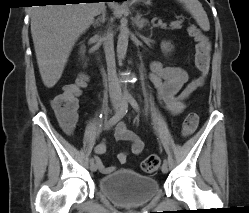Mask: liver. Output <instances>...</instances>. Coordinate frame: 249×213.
Masks as SVG:
<instances>
[{
    "instance_id": "1",
    "label": "liver",
    "mask_w": 249,
    "mask_h": 213,
    "mask_svg": "<svg viewBox=\"0 0 249 213\" xmlns=\"http://www.w3.org/2000/svg\"><path fill=\"white\" fill-rule=\"evenodd\" d=\"M104 2L33 6L31 34L44 85L52 88L62 76L75 42L105 11Z\"/></svg>"
}]
</instances>
